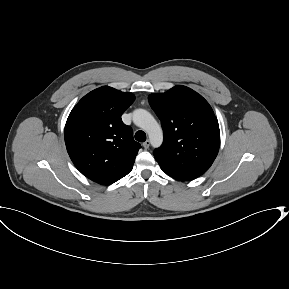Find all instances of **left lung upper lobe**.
Returning <instances> with one entry per match:
<instances>
[{
  "instance_id": "left-lung-upper-lobe-1",
  "label": "left lung upper lobe",
  "mask_w": 289,
  "mask_h": 289,
  "mask_svg": "<svg viewBox=\"0 0 289 289\" xmlns=\"http://www.w3.org/2000/svg\"><path fill=\"white\" fill-rule=\"evenodd\" d=\"M161 120L164 141L154 157L177 180H193L209 169L220 147L219 124L211 106L197 92L175 86L148 97Z\"/></svg>"
}]
</instances>
